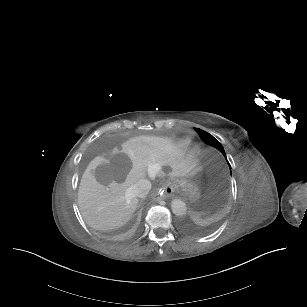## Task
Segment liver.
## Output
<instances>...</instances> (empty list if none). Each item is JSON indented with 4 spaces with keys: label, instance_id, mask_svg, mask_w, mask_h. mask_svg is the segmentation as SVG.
Returning a JSON list of instances; mask_svg holds the SVG:
<instances>
[{
    "label": "liver",
    "instance_id": "6515ba94",
    "mask_svg": "<svg viewBox=\"0 0 307 307\" xmlns=\"http://www.w3.org/2000/svg\"><path fill=\"white\" fill-rule=\"evenodd\" d=\"M164 166L172 168L171 177L195 174L194 162L167 138L140 136L103 151L80 182L78 203L85 222L101 230L122 225L137 207L133 186L149 172L165 176Z\"/></svg>",
    "mask_w": 307,
    "mask_h": 307
}]
</instances>
